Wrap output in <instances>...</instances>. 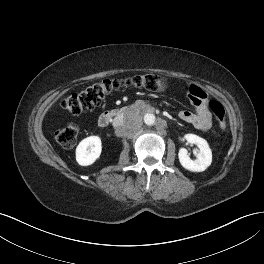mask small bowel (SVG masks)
Masks as SVG:
<instances>
[{"instance_id":"obj_1","label":"small bowel","mask_w":264,"mask_h":264,"mask_svg":"<svg viewBox=\"0 0 264 264\" xmlns=\"http://www.w3.org/2000/svg\"><path fill=\"white\" fill-rule=\"evenodd\" d=\"M188 96L195 110L194 112L183 110L179 113V118L196 129L209 130L212 126V118L207 93L200 87L191 85L188 89Z\"/></svg>"}]
</instances>
